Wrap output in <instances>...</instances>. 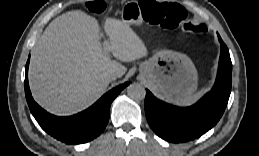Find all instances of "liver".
<instances>
[{"label": "liver", "mask_w": 259, "mask_h": 156, "mask_svg": "<svg viewBox=\"0 0 259 156\" xmlns=\"http://www.w3.org/2000/svg\"><path fill=\"white\" fill-rule=\"evenodd\" d=\"M109 49L96 19L81 10L55 18L36 42L29 67V85L35 101L48 112L68 116L80 112L107 89L109 74L120 77L126 67L109 57L131 62L147 56L144 42L129 23L108 19L104 24Z\"/></svg>", "instance_id": "1"}]
</instances>
